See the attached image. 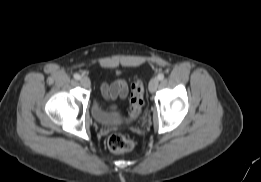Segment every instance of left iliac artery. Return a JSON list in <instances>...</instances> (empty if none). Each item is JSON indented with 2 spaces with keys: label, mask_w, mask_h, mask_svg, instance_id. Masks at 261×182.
Instances as JSON below:
<instances>
[{
  "label": "left iliac artery",
  "mask_w": 261,
  "mask_h": 182,
  "mask_svg": "<svg viewBox=\"0 0 261 182\" xmlns=\"http://www.w3.org/2000/svg\"><path fill=\"white\" fill-rule=\"evenodd\" d=\"M158 80H163L164 79V74L163 73H159L157 76Z\"/></svg>",
  "instance_id": "1"
}]
</instances>
